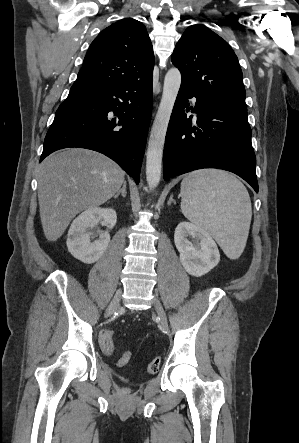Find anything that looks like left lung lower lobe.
Listing matches in <instances>:
<instances>
[{
    "instance_id": "left-lung-lower-lobe-1",
    "label": "left lung lower lobe",
    "mask_w": 299,
    "mask_h": 443,
    "mask_svg": "<svg viewBox=\"0 0 299 443\" xmlns=\"http://www.w3.org/2000/svg\"><path fill=\"white\" fill-rule=\"evenodd\" d=\"M195 97L196 126L188 99ZM247 111L224 106L181 83L170 118L163 154L164 179L193 170L217 168L233 172L258 192L256 157Z\"/></svg>"
}]
</instances>
